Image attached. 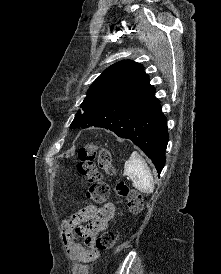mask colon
Wrapping results in <instances>:
<instances>
[{
  "label": "colon",
  "mask_w": 221,
  "mask_h": 274,
  "mask_svg": "<svg viewBox=\"0 0 221 274\" xmlns=\"http://www.w3.org/2000/svg\"><path fill=\"white\" fill-rule=\"evenodd\" d=\"M77 170L86 177L90 183L87 197L96 203L105 201L110 194V187L103 178L102 170L112 175V154L106 147L94 143L87 144L78 152ZM115 190L118 195L125 198L126 209L132 214L139 213L143 207L141 194L131 190L123 181L117 180ZM116 242V235L112 231L103 232L96 240V248L102 251L111 250Z\"/></svg>",
  "instance_id": "colon-1"
}]
</instances>
